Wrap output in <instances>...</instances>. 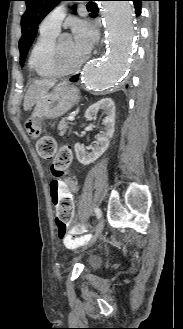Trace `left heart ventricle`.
<instances>
[{"label":"left heart ventricle","mask_w":183,"mask_h":329,"mask_svg":"<svg viewBox=\"0 0 183 329\" xmlns=\"http://www.w3.org/2000/svg\"><path fill=\"white\" fill-rule=\"evenodd\" d=\"M60 44L63 53L62 65L64 67H70L81 62L87 55L75 46L72 39H64Z\"/></svg>","instance_id":"obj_1"}]
</instances>
